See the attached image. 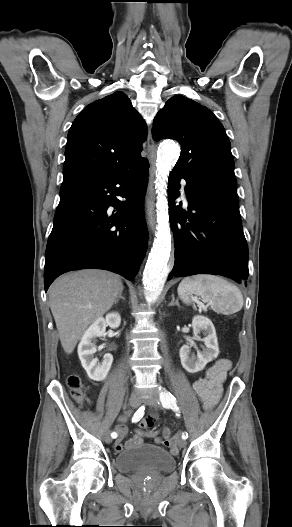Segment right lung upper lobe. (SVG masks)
I'll use <instances>...</instances> for the list:
<instances>
[{
    "mask_svg": "<svg viewBox=\"0 0 292 527\" xmlns=\"http://www.w3.org/2000/svg\"><path fill=\"white\" fill-rule=\"evenodd\" d=\"M144 120L125 93L117 91L83 109L67 136L63 181L107 179L147 161L141 147Z\"/></svg>",
    "mask_w": 292,
    "mask_h": 527,
    "instance_id": "obj_1",
    "label": "right lung upper lobe"
}]
</instances>
